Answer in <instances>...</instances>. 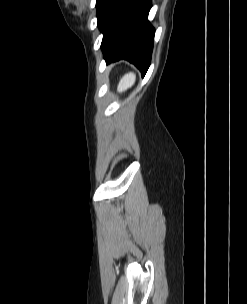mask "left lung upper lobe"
<instances>
[{
	"mask_svg": "<svg viewBox=\"0 0 247 304\" xmlns=\"http://www.w3.org/2000/svg\"><path fill=\"white\" fill-rule=\"evenodd\" d=\"M100 1L101 0H96V7H98Z\"/></svg>",
	"mask_w": 247,
	"mask_h": 304,
	"instance_id": "1",
	"label": "left lung upper lobe"
}]
</instances>
